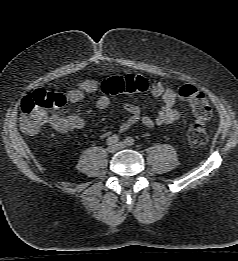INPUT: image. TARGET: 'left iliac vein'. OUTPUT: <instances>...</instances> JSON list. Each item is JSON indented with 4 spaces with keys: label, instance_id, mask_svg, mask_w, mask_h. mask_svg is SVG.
<instances>
[{
    "label": "left iliac vein",
    "instance_id": "4c4485c4",
    "mask_svg": "<svg viewBox=\"0 0 238 261\" xmlns=\"http://www.w3.org/2000/svg\"><path fill=\"white\" fill-rule=\"evenodd\" d=\"M117 146H118V149H123V148H125V143H123V142H119L118 144H117Z\"/></svg>",
    "mask_w": 238,
    "mask_h": 261
}]
</instances>
